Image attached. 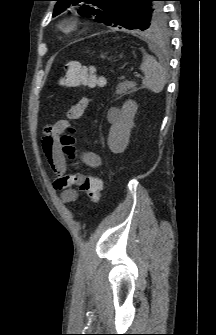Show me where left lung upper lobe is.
I'll return each mask as SVG.
<instances>
[{"instance_id": "1", "label": "left lung upper lobe", "mask_w": 216, "mask_h": 335, "mask_svg": "<svg viewBox=\"0 0 216 335\" xmlns=\"http://www.w3.org/2000/svg\"><path fill=\"white\" fill-rule=\"evenodd\" d=\"M53 17L72 5L85 3L78 13L112 27L160 33L167 29L163 0H55Z\"/></svg>"}]
</instances>
